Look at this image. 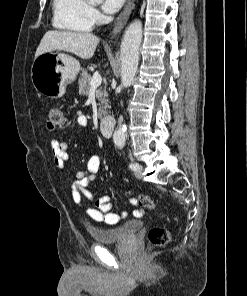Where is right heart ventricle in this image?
<instances>
[{
  "label": "right heart ventricle",
  "instance_id": "obj_1",
  "mask_svg": "<svg viewBox=\"0 0 247 296\" xmlns=\"http://www.w3.org/2000/svg\"><path fill=\"white\" fill-rule=\"evenodd\" d=\"M88 0H53V26L72 32H88L93 27Z\"/></svg>",
  "mask_w": 247,
  "mask_h": 296
}]
</instances>
